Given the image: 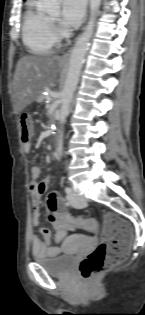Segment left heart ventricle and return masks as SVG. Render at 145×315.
Segmentation results:
<instances>
[{
	"label": "left heart ventricle",
	"instance_id": "left-heart-ventricle-1",
	"mask_svg": "<svg viewBox=\"0 0 145 315\" xmlns=\"http://www.w3.org/2000/svg\"><path fill=\"white\" fill-rule=\"evenodd\" d=\"M49 17H50L53 21H56V22L59 21V13H55V14L49 15Z\"/></svg>",
	"mask_w": 145,
	"mask_h": 315
}]
</instances>
